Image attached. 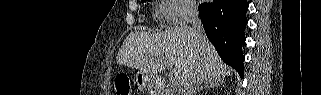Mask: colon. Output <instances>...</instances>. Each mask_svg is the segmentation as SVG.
Masks as SVG:
<instances>
[{
	"label": "colon",
	"instance_id": "5ec220e1",
	"mask_svg": "<svg viewBox=\"0 0 321 95\" xmlns=\"http://www.w3.org/2000/svg\"><path fill=\"white\" fill-rule=\"evenodd\" d=\"M115 88L117 95H132L130 81L127 76H118L115 81Z\"/></svg>",
	"mask_w": 321,
	"mask_h": 95
}]
</instances>
